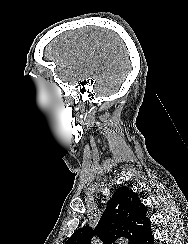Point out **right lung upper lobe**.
Instances as JSON below:
<instances>
[{"instance_id":"obj_1","label":"right lung upper lobe","mask_w":188,"mask_h":244,"mask_svg":"<svg viewBox=\"0 0 188 244\" xmlns=\"http://www.w3.org/2000/svg\"><path fill=\"white\" fill-rule=\"evenodd\" d=\"M150 227L151 222L139 197L122 186L109 200L96 229L80 228L65 244H88L95 235L105 244H112L120 238L128 239L129 244H139Z\"/></svg>"}]
</instances>
